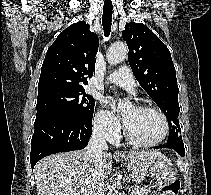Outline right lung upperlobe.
Masks as SVG:
<instances>
[{
  "mask_svg": "<svg viewBox=\"0 0 211 195\" xmlns=\"http://www.w3.org/2000/svg\"><path fill=\"white\" fill-rule=\"evenodd\" d=\"M98 36L79 21L62 31L48 48L41 68L38 92L54 89H83L95 70Z\"/></svg>",
  "mask_w": 211,
  "mask_h": 195,
  "instance_id": "1",
  "label": "right lung upper lobe"
}]
</instances>
